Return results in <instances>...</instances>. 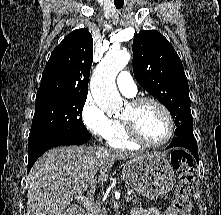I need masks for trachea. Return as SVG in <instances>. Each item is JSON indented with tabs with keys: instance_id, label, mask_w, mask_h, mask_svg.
Listing matches in <instances>:
<instances>
[{
	"instance_id": "3493384b",
	"label": "trachea",
	"mask_w": 221,
	"mask_h": 215,
	"mask_svg": "<svg viewBox=\"0 0 221 215\" xmlns=\"http://www.w3.org/2000/svg\"><path fill=\"white\" fill-rule=\"evenodd\" d=\"M115 7L117 9H121L123 7V4L122 3H115Z\"/></svg>"
}]
</instances>
